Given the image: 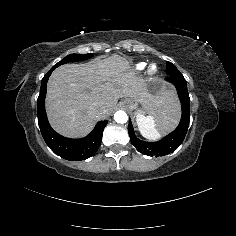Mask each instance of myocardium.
I'll return each instance as SVG.
<instances>
[{"label":"myocardium","mask_w":236,"mask_h":236,"mask_svg":"<svg viewBox=\"0 0 236 236\" xmlns=\"http://www.w3.org/2000/svg\"><path fill=\"white\" fill-rule=\"evenodd\" d=\"M155 67V71H152V68ZM147 73L151 76L156 75L158 73L157 65L156 63H150L147 68Z\"/></svg>","instance_id":"myocardium-1"}]
</instances>
